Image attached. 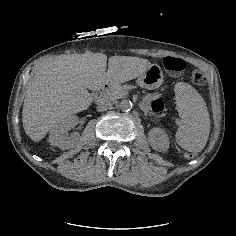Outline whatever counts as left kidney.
<instances>
[{"mask_svg": "<svg viewBox=\"0 0 236 236\" xmlns=\"http://www.w3.org/2000/svg\"><path fill=\"white\" fill-rule=\"evenodd\" d=\"M158 136V139H156ZM148 143L150 147L160 153H167L170 148L169 137L161 128H152L148 133Z\"/></svg>", "mask_w": 236, "mask_h": 236, "instance_id": "5707ae66", "label": "left kidney"}]
</instances>
